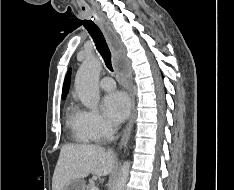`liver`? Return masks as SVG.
<instances>
[{"label":"liver","instance_id":"obj_1","mask_svg":"<svg viewBox=\"0 0 234 190\" xmlns=\"http://www.w3.org/2000/svg\"><path fill=\"white\" fill-rule=\"evenodd\" d=\"M115 162V155L101 146L65 144L54 170L52 190H63L69 181L85 178L90 173L106 176L111 173Z\"/></svg>","mask_w":234,"mask_h":190}]
</instances>
